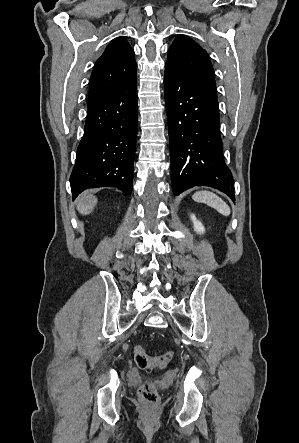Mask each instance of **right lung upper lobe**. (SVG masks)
Here are the masks:
<instances>
[{"mask_svg": "<svg viewBox=\"0 0 299 443\" xmlns=\"http://www.w3.org/2000/svg\"><path fill=\"white\" fill-rule=\"evenodd\" d=\"M134 77V51L124 37H117L95 63L89 81L88 106L116 91Z\"/></svg>", "mask_w": 299, "mask_h": 443, "instance_id": "1", "label": "right lung upper lobe"}]
</instances>
